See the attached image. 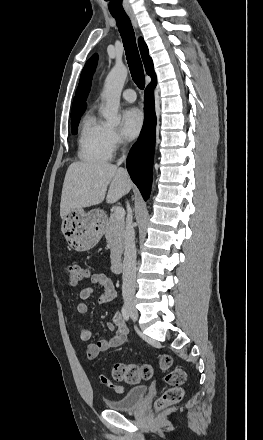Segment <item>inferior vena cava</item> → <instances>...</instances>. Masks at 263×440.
<instances>
[{
  "label": "inferior vena cava",
  "instance_id": "602c4592",
  "mask_svg": "<svg viewBox=\"0 0 263 440\" xmlns=\"http://www.w3.org/2000/svg\"><path fill=\"white\" fill-rule=\"evenodd\" d=\"M126 157L123 155L122 158L119 159L117 165H121L125 161ZM123 171L127 174V171L123 169ZM127 224L126 231L124 236V260H123V285H122V294L124 300L133 299L135 294V285H136V248H135V232L134 226L132 223V210L130 205L127 203Z\"/></svg>",
  "mask_w": 263,
  "mask_h": 440
}]
</instances>
